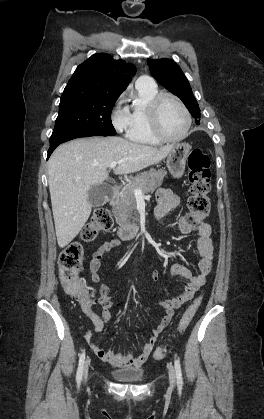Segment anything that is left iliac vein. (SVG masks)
I'll return each mask as SVG.
<instances>
[{"label":"left iliac vein","mask_w":264,"mask_h":419,"mask_svg":"<svg viewBox=\"0 0 264 419\" xmlns=\"http://www.w3.org/2000/svg\"><path fill=\"white\" fill-rule=\"evenodd\" d=\"M169 382H170L171 387L175 386L176 374L172 365H169Z\"/></svg>","instance_id":"4c4485c4"}]
</instances>
